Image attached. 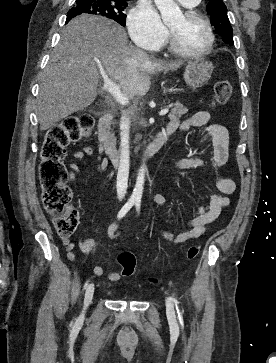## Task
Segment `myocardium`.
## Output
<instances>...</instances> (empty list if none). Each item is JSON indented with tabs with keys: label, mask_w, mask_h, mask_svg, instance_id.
<instances>
[{
	"label": "myocardium",
	"mask_w": 276,
	"mask_h": 363,
	"mask_svg": "<svg viewBox=\"0 0 276 363\" xmlns=\"http://www.w3.org/2000/svg\"><path fill=\"white\" fill-rule=\"evenodd\" d=\"M184 16L188 20H198V21L203 22V24L205 25V28L207 30V34H208V44L202 51H199V52H192V51L186 50L179 44L173 31L170 29V47H171L172 51L180 56H183L186 58H191V59H201V58L206 57L207 55H209L211 53V51L213 50L214 44H215L214 32H213L210 20L204 14H202L201 12H199L197 10H188L184 13Z\"/></svg>",
	"instance_id": "f54148a6"
}]
</instances>
